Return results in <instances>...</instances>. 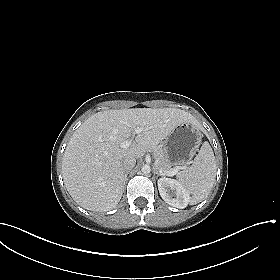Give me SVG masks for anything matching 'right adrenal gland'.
Instances as JSON below:
<instances>
[{
    "instance_id": "right-adrenal-gland-1",
    "label": "right adrenal gland",
    "mask_w": 280,
    "mask_h": 280,
    "mask_svg": "<svg viewBox=\"0 0 280 280\" xmlns=\"http://www.w3.org/2000/svg\"><path fill=\"white\" fill-rule=\"evenodd\" d=\"M128 174H129V172L127 171V172L125 173L124 183H123V184H125V182H126V180H127V176H128Z\"/></svg>"
}]
</instances>
